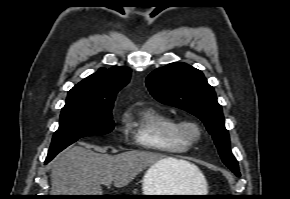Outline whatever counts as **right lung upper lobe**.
<instances>
[{"label": "right lung upper lobe", "instance_id": "cb5924a9", "mask_svg": "<svg viewBox=\"0 0 290 199\" xmlns=\"http://www.w3.org/2000/svg\"><path fill=\"white\" fill-rule=\"evenodd\" d=\"M128 67L100 68L75 85L67 95L63 108H107L113 107L117 92L130 80Z\"/></svg>", "mask_w": 290, "mask_h": 199}]
</instances>
